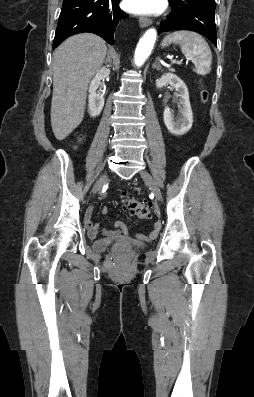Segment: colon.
Returning a JSON list of instances; mask_svg holds the SVG:
<instances>
[{"mask_svg": "<svg viewBox=\"0 0 254 397\" xmlns=\"http://www.w3.org/2000/svg\"><path fill=\"white\" fill-rule=\"evenodd\" d=\"M200 95L202 102L205 103L208 99V92L203 88L202 84ZM124 199L129 212L133 216L139 219H148L151 217L152 210L150 205L140 202L130 195H124Z\"/></svg>", "mask_w": 254, "mask_h": 397, "instance_id": "obj_1", "label": "colon"}]
</instances>
